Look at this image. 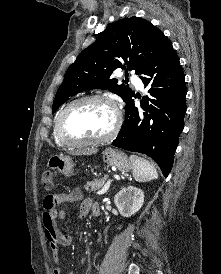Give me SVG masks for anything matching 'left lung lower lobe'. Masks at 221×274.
<instances>
[{
	"label": "left lung lower lobe",
	"mask_w": 221,
	"mask_h": 274,
	"mask_svg": "<svg viewBox=\"0 0 221 274\" xmlns=\"http://www.w3.org/2000/svg\"><path fill=\"white\" fill-rule=\"evenodd\" d=\"M140 76L150 85V97L134 105L135 95L126 103L125 121L112 145L153 158L165 177L171 171L186 112L185 76L171 43L150 62Z\"/></svg>",
	"instance_id": "left-lung-lower-lobe-1"
}]
</instances>
